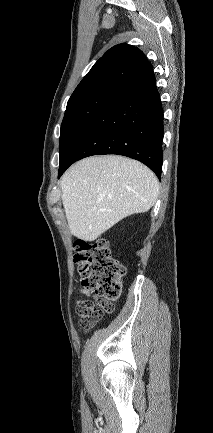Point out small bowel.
<instances>
[{"label":"small bowel","mask_w":213,"mask_h":433,"mask_svg":"<svg viewBox=\"0 0 213 433\" xmlns=\"http://www.w3.org/2000/svg\"><path fill=\"white\" fill-rule=\"evenodd\" d=\"M82 292L85 294H88L87 290H85V289H82Z\"/></svg>","instance_id":"obj_1"}]
</instances>
